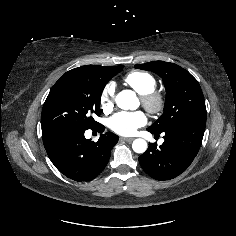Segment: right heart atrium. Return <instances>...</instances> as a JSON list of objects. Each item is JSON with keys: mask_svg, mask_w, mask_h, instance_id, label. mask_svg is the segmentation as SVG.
Here are the masks:
<instances>
[{"mask_svg": "<svg viewBox=\"0 0 236 236\" xmlns=\"http://www.w3.org/2000/svg\"><path fill=\"white\" fill-rule=\"evenodd\" d=\"M115 98V85L108 83L103 88L100 94V105L104 113H109L113 110Z\"/></svg>", "mask_w": 236, "mask_h": 236, "instance_id": "right-heart-atrium-1", "label": "right heart atrium"}]
</instances>
